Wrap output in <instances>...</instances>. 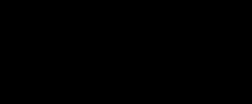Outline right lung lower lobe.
I'll use <instances>...</instances> for the list:
<instances>
[{
	"mask_svg": "<svg viewBox=\"0 0 252 104\" xmlns=\"http://www.w3.org/2000/svg\"><path fill=\"white\" fill-rule=\"evenodd\" d=\"M31 92L37 104H114L121 85L105 69L77 56H56L32 69Z\"/></svg>",
	"mask_w": 252,
	"mask_h": 104,
	"instance_id": "right-lung-lower-lobe-1",
	"label": "right lung lower lobe"
}]
</instances>
